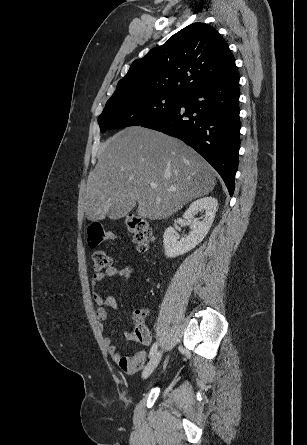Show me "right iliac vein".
<instances>
[{
    "label": "right iliac vein",
    "instance_id": "1",
    "mask_svg": "<svg viewBox=\"0 0 307 445\" xmlns=\"http://www.w3.org/2000/svg\"><path fill=\"white\" fill-rule=\"evenodd\" d=\"M161 357L162 351H158L152 356L142 372L143 379L147 378L155 370L161 360Z\"/></svg>",
    "mask_w": 307,
    "mask_h": 445
}]
</instances>
